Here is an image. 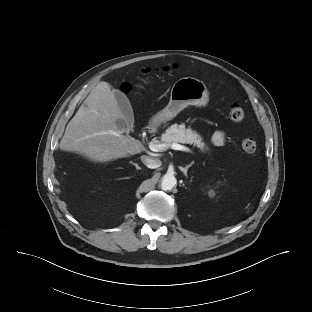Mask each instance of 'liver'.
Segmentation results:
<instances>
[{"instance_id":"obj_1","label":"liver","mask_w":312,"mask_h":312,"mask_svg":"<svg viewBox=\"0 0 312 312\" xmlns=\"http://www.w3.org/2000/svg\"><path fill=\"white\" fill-rule=\"evenodd\" d=\"M115 91L107 82L95 86L66 126L60 149L78 153L93 162H109L141 153L139 140L125 136V120Z\"/></svg>"}]
</instances>
